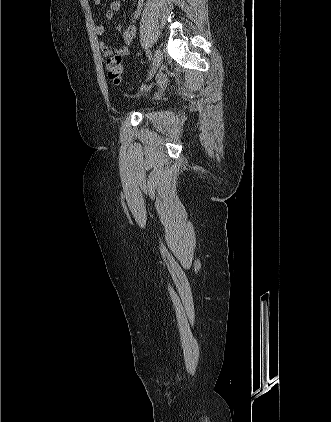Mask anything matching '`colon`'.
Masks as SVG:
<instances>
[{
	"label": "colon",
	"mask_w": 331,
	"mask_h": 422,
	"mask_svg": "<svg viewBox=\"0 0 331 422\" xmlns=\"http://www.w3.org/2000/svg\"><path fill=\"white\" fill-rule=\"evenodd\" d=\"M106 73L110 81L119 84L123 77V63L120 57H113L107 60Z\"/></svg>",
	"instance_id": "colon-1"
}]
</instances>
